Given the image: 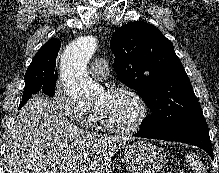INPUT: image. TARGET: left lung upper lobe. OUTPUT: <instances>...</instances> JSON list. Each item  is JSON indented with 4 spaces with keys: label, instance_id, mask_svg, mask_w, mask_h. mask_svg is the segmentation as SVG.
<instances>
[{
    "label": "left lung upper lobe",
    "instance_id": "left-lung-upper-lobe-1",
    "mask_svg": "<svg viewBox=\"0 0 219 173\" xmlns=\"http://www.w3.org/2000/svg\"><path fill=\"white\" fill-rule=\"evenodd\" d=\"M110 46L119 79L152 111L143 120L141 132L159 134L205 120L173 44L156 27L131 22L113 33Z\"/></svg>",
    "mask_w": 219,
    "mask_h": 173
}]
</instances>
